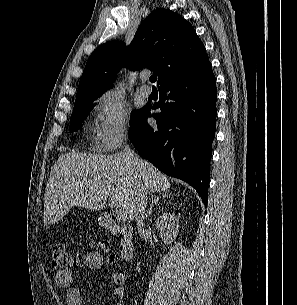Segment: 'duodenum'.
<instances>
[{"instance_id":"obj_1","label":"duodenum","mask_w":297,"mask_h":305,"mask_svg":"<svg viewBox=\"0 0 297 305\" xmlns=\"http://www.w3.org/2000/svg\"><path fill=\"white\" fill-rule=\"evenodd\" d=\"M100 223L111 233L120 236V257L124 262L130 261L133 258L135 252L131 228L120 226L110 214L101 215Z\"/></svg>"}]
</instances>
